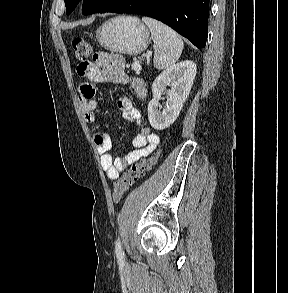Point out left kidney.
I'll return each mask as SVG.
<instances>
[{
    "label": "left kidney",
    "mask_w": 288,
    "mask_h": 293,
    "mask_svg": "<svg viewBox=\"0 0 288 293\" xmlns=\"http://www.w3.org/2000/svg\"><path fill=\"white\" fill-rule=\"evenodd\" d=\"M196 64L183 61L164 70L153 82V99L148 104V120L156 130L168 128L179 116L189 96L196 75ZM167 86L171 90L167 94V106L160 110L159 100Z\"/></svg>",
    "instance_id": "1"
}]
</instances>
